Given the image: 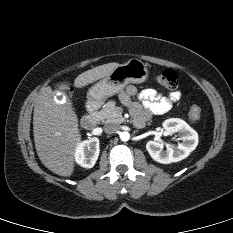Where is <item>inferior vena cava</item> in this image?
Instances as JSON below:
<instances>
[{
	"label": "inferior vena cava",
	"instance_id": "inferior-vena-cava-1",
	"mask_svg": "<svg viewBox=\"0 0 233 233\" xmlns=\"http://www.w3.org/2000/svg\"><path fill=\"white\" fill-rule=\"evenodd\" d=\"M118 129H119V125H117L115 123H107L104 125V130L107 133H114Z\"/></svg>",
	"mask_w": 233,
	"mask_h": 233
}]
</instances>
